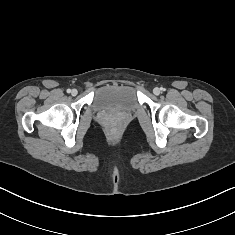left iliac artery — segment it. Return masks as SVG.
Here are the masks:
<instances>
[{"label":"left iliac artery","instance_id":"44dca946","mask_svg":"<svg viewBox=\"0 0 235 235\" xmlns=\"http://www.w3.org/2000/svg\"><path fill=\"white\" fill-rule=\"evenodd\" d=\"M161 91H165V89L163 87L160 88Z\"/></svg>","mask_w":235,"mask_h":235}]
</instances>
